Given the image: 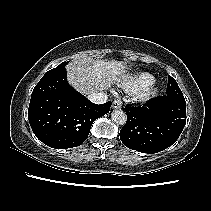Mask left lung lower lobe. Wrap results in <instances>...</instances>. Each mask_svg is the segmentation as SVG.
Listing matches in <instances>:
<instances>
[{
  "label": "left lung lower lobe",
  "instance_id": "obj_1",
  "mask_svg": "<svg viewBox=\"0 0 211 211\" xmlns=\"http://www.w3.org/2000/svg\"><path fill=\"white\" fill-rule=\"evenodd\" d=\"M127 122L120 130L125 146L142 153H157L171 146L186 124L183 94L164 95L144 106L125 107Z\"/></svg>",
  "mask_w": 211,
  "mask_h": 211
}]
</instances>
